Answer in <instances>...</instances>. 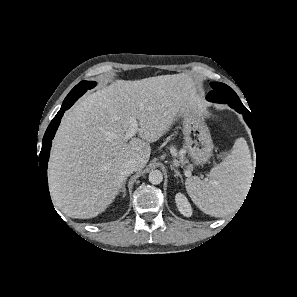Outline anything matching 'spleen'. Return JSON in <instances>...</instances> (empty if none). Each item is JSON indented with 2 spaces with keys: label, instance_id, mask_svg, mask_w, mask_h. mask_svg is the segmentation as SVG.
I'll list each match as a JSON object with an SVG mask.
<instances>
[{
  "label": "spleen",
  "instance_id": "3e777b00",
  "mask_svg": "<svg viewBox=\"0 0 297 297\" xmlns=\"http://www.w3.org/2000/svg\"><path fill=\"white\" fill-rule=\"evenodd\" d=\"M252 160L244 138L236 140L231 153L211 169L209 177L185 181L187 193L204 213L222 217L236 211L246 196L252 179Z\"/></svg>",
  "mask_w": 297,
  "mask_h": 297
}]
</instances>
